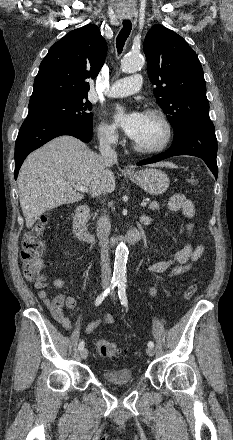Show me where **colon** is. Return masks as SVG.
Wrapping results in <instances>:
<instances>
[{
	"mask_svg": "<svg viewBox=\"0 0 233 440\" xmlns=\"http://www.w3.org/2000/svg\"><path fill=\"white\" fill-rule=\"evenodd\" d=\"M188 183L191 186H197L199 185V178L192 174L188 179ZM48 223V216L40 217L38 222L24 234L20 252L25 278L30 281L39 282L41 285H44L46 281L43 274L44 263L42 260L45 246L41 240V235ZM197 288V283L190 284L183 294L184 299H191L195 295ZM96 345L99 355L103 358L119 359L121 357L120 348L111 341L100 339Z\"/></svg>",
	"mask_w": 233,
	"mask_h": 440,
	"instance_id": "1",
	"label": "colon"
}]
</instances>
